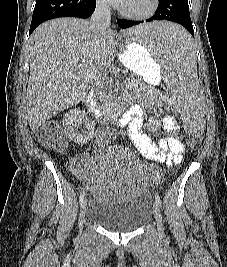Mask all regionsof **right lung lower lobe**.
Segmentation results:
<instances>
[{"mask_svg":"<svg viewBox=\"0 0 227 267\" xmlns=\"http://www.w3.org/2000/svg\"><path fill=\"white\" fill-rule=\"evenodd\" d=\"M95 0H37L29 34L44 21L58 17L88 18L95 10Z\"/></svg>","mask_w":227,"mask_h":267,"instance_id":"98d812e1","label":"right lung lower lobe"}]
</instances>
